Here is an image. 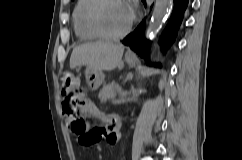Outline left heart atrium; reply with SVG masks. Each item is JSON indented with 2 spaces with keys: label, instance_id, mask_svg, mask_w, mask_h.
<instances>
[{
  "label": "left heart atrium",
  "instance_id": "1",
  "mask_svg": "<svg viewBox=\"0 0 242 160\" xmlns=\"http://www.w3.org/2000/svg\"><path fill=\"white\" fill-rule=\"evenodd\" d=\"M131 10L132 15L135 13L136 3L134 1L127 2Z\"/></svg>",
  "mask_w": 242,
  "mask_h": 160
}]
</instances>
